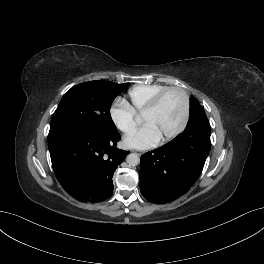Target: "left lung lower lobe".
Listing matches in <instances>:
<instances>
[{
  "instance_id": "left-lung-lower-lobe-1",
  "label": "left lung lower lobe",
  "mask_w": 264,
  "mask_h": 264,
  "mask_svg": "<svg viewBox=\"0 0 264 264\" xmlns=\"http://www.w3.org/2000/svg\"><path fill=\"white\" fill-rule=\"evenodd\" d=\"M210 125L187 126L173 142L141 156L140 190L163 204L185 194L200 176L210 151Z\"/></svg>"
}]
</instances>
